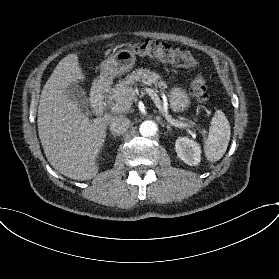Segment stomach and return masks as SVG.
<instances>
[{
  "label": "stomach",
  "mask_w": 279,
  "mask_h": 279,
  "mask_svg": "<svg viewBox=\"0 0 279 279\" xmlns=\"http://www.w3.org/2000/svg\"><path fill=\"white\" fill-rule=\"evenodd\" d=\"M136 62V56L133 51L121 49L100 65V77L106 81H112L114 77H119L130 71ZM169 106L173 112L187 111L191 105V100L185 89L174 86L170 89Z\"/></svg>",
  "instance_id": "obj_1"
}]
</instances>
